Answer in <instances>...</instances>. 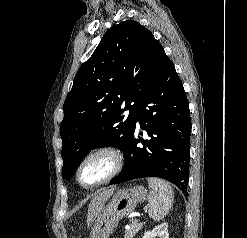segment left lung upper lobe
<instances>
[{
    "mask_svg": "<svg viewBox=\"0 0 247 238\" xmlns=\"http://www.w3.org/2000/svg\"><path fill=\"white\" fill-rule=\"evenodd\" d=\"M166 58L152 33L136 21H123L104 34L64 102L63 179L92 149L114 146L124 154L138 109ZM124 110L130 111L127 117Z\"/></svg>",
    "mask_w": 247,
    "mask_h": 238,
    "instance_id": "obj_1",
    "label": "left lung upper lobe"
}]
</instances>
